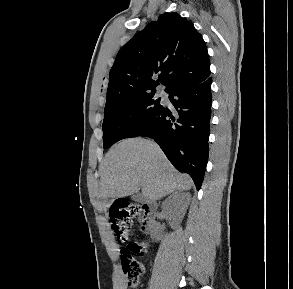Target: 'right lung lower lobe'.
<instances>
[{"label":"right lung lower lobe","mask_w":293,"mask_h":289,"mask_svg":"<svg viewBox=\"0 0 293 289\" xmlns=\"http://www.w3.org/2000/svg\"><path fill=\"white\" fill-rule=\"evenodd\" d=\"M175 110L162 106L129 138H153L176 169L188 173L200 189L208 161L211 78L169 93Z\"/></svg>","instance_id":"98d812e1"}]
</instances>
